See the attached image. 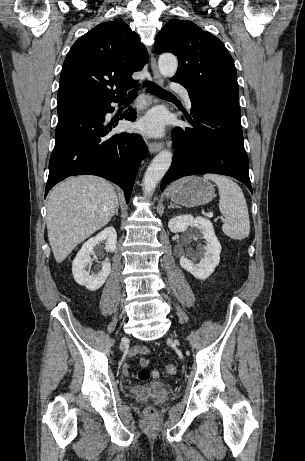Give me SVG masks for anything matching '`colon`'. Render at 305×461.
<instances>
[{"label":"colon","instance_id":"1","mask_svg":"<svg viewBox=\"0 0 305 461\" xmlns=\"http://www.w3.org/2000/svg\"><path fill=\"white\" fill-rule=\"evenodd\" d=\"M165 373L169 376H173V375H176L177 373V367L176 365L174 364H168L165 366V369H164ZM151 378V372L147 369H141L138 373V379L140 381H148L149 379ZM155 413V410L153 408H148L147 409V414L149 416H153Z\"/></svg>","mask_w":305,"mask_h":461}]
</instances>
